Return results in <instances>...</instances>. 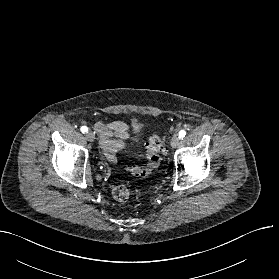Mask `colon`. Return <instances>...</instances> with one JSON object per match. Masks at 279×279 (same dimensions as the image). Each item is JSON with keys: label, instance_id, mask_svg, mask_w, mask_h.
<instances>
[{"label": "colon", "instance_id": "colon-1", "mask_svg": "<svg viewBox=\"0 0 279 279\" xmlns=\"http://www.w3.org/2000/svg\"><path fill=\"white\" fill-rule=\"evenodd\" d=\"M147 165L127 166V170L135 176H145L152 170L156 169L160 164V153L163 151V143L158 135H152L147 144ZM113 197L119 202H126L131 197L130 189L125 185H118L113 188Z\"/></svg>", "mask_w": 279, "mask_h": 279}]
</instances>
